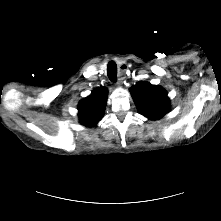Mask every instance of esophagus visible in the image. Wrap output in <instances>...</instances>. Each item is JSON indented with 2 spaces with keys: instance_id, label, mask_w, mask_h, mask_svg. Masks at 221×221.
<instances>
[{
  "instance_id": "obj_1",
  "label": "esophagus",
  "mask_w": 221,
  "mask_h": 221,
  "mask_svg": "<svg viewBox=\"0 0 221 221\" xmlns=\"http://www.w3.org/2000/svg\"><path fill=\"white\" fill-rule=\"evenodd\" d=\"M122 67H125V65H123ZM125 70H126V69H120V74H121V75H120V77H119V79H118V82L116 83L118 86H120L121 83H122V80H123L122 75L124 74Z\"/></svg>"
}]
</instances>
